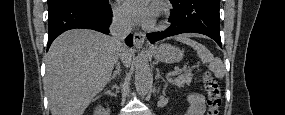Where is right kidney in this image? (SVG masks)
Returning <instances> with one entry per match:
<instances>
[{
    "instance_id": "ca27d5eb",
    "label": "right kidney",
    "mask_w": 285,
    "mask_h": 115,
    "mask_svg": "<svg viewBox=\"0 0 285 115\" xmlns=\"http://www.w3.org/2000/svg\"><path fill=\"white\" fill-rule=\"evenodd\" d=\"M103 111L104 110L99 106V107L96 108L95 114L96 115H103L104 114Z\"/></svg>"
}]
</instances>
